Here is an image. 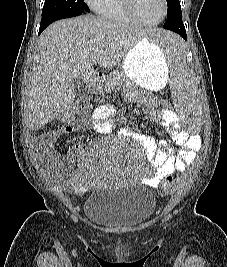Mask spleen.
Masks as SVG:
<instances>
[{
  "label": "spleen",
  "instance_id": "spleen-1",
  "mask_svg": "<svg viewBox=\"0 0 227 267\" xmlns=\"http://www.w3.org/2000/svg\"><path fill=\"white\" fill-rule=\"evenodd\" d=\"M149 41L157 43V47L166 55V63H171L169 82L174 91L175 105H200V100H196V90L190 82V63H185L188 50L177 38V33H153ZM177 115H201V106H177ZM200 121L201 116H180L179 125H182V129H189V134H200V129H203Z\"/></svg>",
  "mask_w": 227,
  "mask_h": 267
}]
</instances>
